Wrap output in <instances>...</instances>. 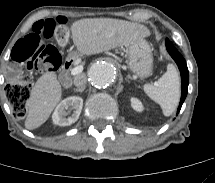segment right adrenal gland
<instances>
[{
    "instance_id": "right-adrenal-gland-1",
    "label": "right adrenal gland",
    "mask_w": 215,
    "mask_h": 183,
    "mask_svg": "<svg viewBox=\"0 0 215 183\" xmlns=\"http://www.w3.org/2000/svg\"><path fill=\"white\" fill-rule=\"evenodd\" d=\"M85 90V87H81V88H77V89H75L74 91L75 92H83Z\"/></svg>"
}]
</instances>
